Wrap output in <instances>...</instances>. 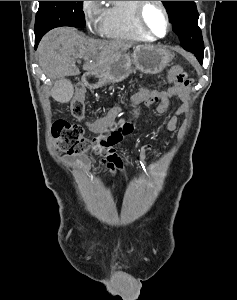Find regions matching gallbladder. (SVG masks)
Masks as SVG:
<instances>
[{
    "label": "gallbladder",
    "instance_id": "obj_1",
    "mask_svg": "<svg viewBox=\"0 0 237 300\" xmlns=\"http://www.w3.org/2000/svg\"><path fill=\"white\" fill-rule=\"evenodd\" d=\"M60 81L61 82H58V84H55V87H53V99L57 101L58 105H68L69 99H71L74 93L71 77L62 76Z\"/></svg>",
    "mask_w": 237,
    "mask_h": 300
}]
</instances>
